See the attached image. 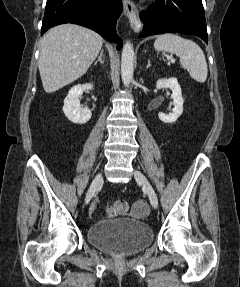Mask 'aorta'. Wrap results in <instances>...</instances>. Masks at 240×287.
<instances>
[{
  "instance_id": "1",
  "label": "aorta",
  "mask_w": 240,
  "mask_h": 287,
  "mask_svg": "<svg viewBox=\"0 0 240 287\" xmlns=\"http://www.w3.org/2000/svg\"><path fill=\"white\" fill-rule=\"evenodd\" d=\"M134 72V49L130 42H126L121 56V77L124 86H129Z\"/></svg>"
}]
</instances>
